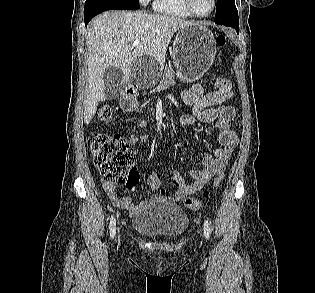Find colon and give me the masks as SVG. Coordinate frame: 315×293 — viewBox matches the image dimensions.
Wrapping results in <instances>:
<instances>
[{"label":"colon","instance_id":"colon-1","mask_svg":"<svg viewBox=\"0 0 315 293\" xmlns=\"http://www.w3.org/2000/svg\"><path fill=\"white\" fill-rule=\"evenodd\" d=\"M226 36L220 34L216 38L219 47L226 45ZM214 91L231 94L230 78H214ZM98 119L105 123H110L114 119V112L108 105H104L98 110ZM89 148L94 164L98 168L104 183L111 185H125L128 189L134 190L138 183V173L133 168L136 154L130 148L127 139L119 135H108L103 133H91L88 139ZM223 179V172L217 173L211 181L213 189L218 188ZM185 206L191 210H198L201 201L197 198H187Z\"/></svg>","mask_w":315,"mask_h":293}]
</instances>
